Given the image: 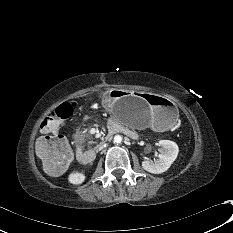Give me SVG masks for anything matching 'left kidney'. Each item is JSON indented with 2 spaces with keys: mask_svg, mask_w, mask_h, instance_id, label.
<instances>
[{
  "mask_svg": "<svg viewBox=\"0 0 233 233\" xmlns=\"http://www.w3.org/2000/svg\"><path fill=\"white\" fill-rule=\"evenodd\" d=\"M157 145L161 147L159 158L154 162L150 160L142 162L143 169L153 174L167 171L179 153L178 145L173 141L160 140Z\"/></svg>",
  "mask_w": 233,
  "mask_h": 233,
  "instance_id": "obj_1",
  "label": "left kidney"
}]
</instances>
